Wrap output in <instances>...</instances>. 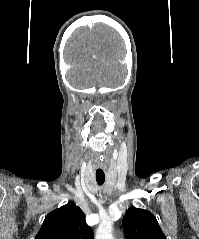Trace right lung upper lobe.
Returning <instances> with one entry per match:
<instances>
[{"label":"right lung upper lobe","instance_id":"1","mask_svg":"<svg viewBox=\"0 0 199 239\" xmlns=\"http://www.w3.org/2000/svg\"><path fill=\"white\" fill-rule=\"evenodd\" d=\"M35 239H93L83 211L73 202L49 213Z\"/></svg>","mask_w":199,"mask_h":239}]
</instances>
